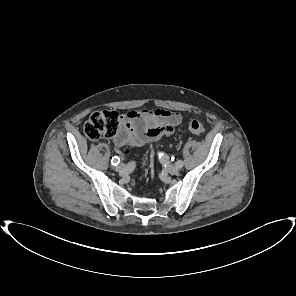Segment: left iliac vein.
<instances>
[{
	"label": "left iliac vein",
	"instance_id": "left-iliac-vein-1",
	"mask_svg": "<svg viewBox=\"0 0 296 296\" xmlns=\"http://www.w3.org/2000/svg\"><path fill=\"white\" fill-rule=\"evenodd\" d=\"M166 170L170 174H177L179 172V170H180V167L177 166V165H168L166 167Z\"/></svg>",
	"mask_w": 296,
	"mask_h": 296
}]
</instances>
